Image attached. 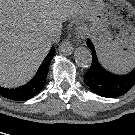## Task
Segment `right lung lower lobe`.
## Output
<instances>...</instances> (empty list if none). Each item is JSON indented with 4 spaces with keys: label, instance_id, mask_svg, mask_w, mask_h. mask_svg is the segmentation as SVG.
<instances>
[{
    "label": "right lung lower lobe",
    "instance_id": "98d812e1",
    "mask_svg": "<svg viewBox=\"0 0 135 135\" xmlns=\"http://www.w3.org/2000/svg\"><path fill=\"white\" fill-rule=\"evenodd\" d=\"M54 55L55 50L54 47H52L41 64L37 74L29 83L15 89H8L0 86V95L14 101H26L36 96L45 86L49 65Z\"/></svg>",
    "mask_w": 135,
    "mask_h": 135
}]
</instances>
